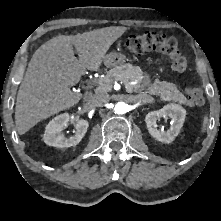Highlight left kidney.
Masks as SVG:
<instances>
[{"instance_id":"obj_1","label":"left kidney","mask_w":221,"mask_h":221,"mask_svg":"<svg viewBox=\"0 0 221 221\" xmlns=\"http://www.w3.org/2000/svg\"><path fill=\"white\" fill-rule=\"evenodd\" d=\"M185 116L186 111L180 105L168 104L160 110L149 112L145 117V122L152 137L163 143H171L179 134ZM160 118L172 119V125L167 131L157 128V121L160 120Z\"/></svg>"}]
</instances>
